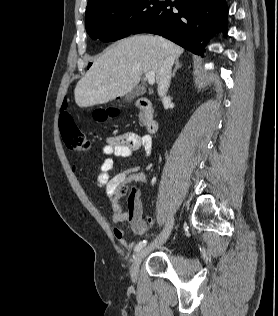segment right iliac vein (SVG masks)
<instances>
[{"instance_id":"right-iliac-vein-1","label":"right iliac vein","mask_w":278,"mask_h":316,"mask_svg":"<svg viewBox=\"0 0 278 316\" xmlns=\"http://www.w3.org/2000/svg\"><path fill=\"white\" fill-rule=\"evenodd\" d=\"M173 225H174V217H173V215H171L168 219V222H167L164 230L162 231L161 235L155 240V242L152 243L150 246L141 249L136 254V256L134 257V260H133V264H132L131 269H130V275H131V279L133 281H136V279H137L138 272H139V266H140L141 262L143 261V259L147 256V254L152 249L158 248L167 240L168 236L171 233Z\"/></svg>"}]
</instances>
